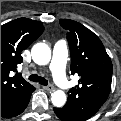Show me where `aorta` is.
Instances as JSON below:
<instances>
[{"instance_id": "aorta-1", "label": "aorta", "mask_w": 121, "mask_h": 121, "mask_svg": "<svg viewBox=\"0 0 121 121\" xmlns=\"http://www.w3.org/2000/svg\"><path fill=\"white\" fill-rule=\"evenodd\" d=\"M32 59L38 65H46L51 59V50L45 43H36L31 50ZM52 104L62 107L66 103V94L62 90H56L51 94Z\"/></svg>"}]
</instances>
